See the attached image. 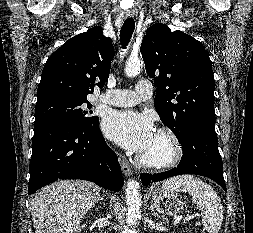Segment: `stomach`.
Here are the masks:
<instances>
[{
    "label": "stomach",
    "instance_id": "0dacf381",
    "mask_svg": "<svg viewBox=\"0 0 253 233\" xmlns=\"http://www.w3.org/2000/svg\"><path fill=\"white\" fill-rule=\"evenodd\" d=\"M152 205L163 215H176L183 210L182 197L172 189L156 187L151 193Z\"/></svg>",
    "mask_w": 253,
    "mask_h": 233
}]
</instances>
